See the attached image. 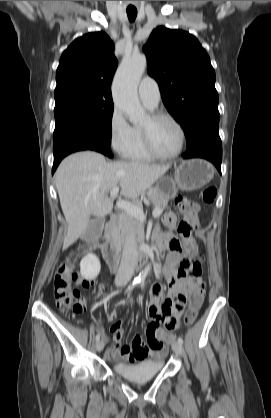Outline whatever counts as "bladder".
<instances>
[{
  "label": "bladder",
  "mask_w": 271,
  "mask_h": 418,
  "mask_svg": "<svg viewBox=\"0 0 271 418\" xmlns=\"http://www.w3.org/2000/svg\"><path fill=\"white\" fill-rule=\"evenodd\" d=\"M163 359L147 360L138 363L117 362L113 365L116 374L134 383H145L156 377L163 369Z\"/></svg>",
  "instance_id": "31cf9c89"
}]
</instances>
